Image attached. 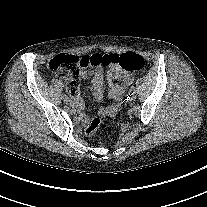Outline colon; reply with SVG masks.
Instances as JSON below:
<instances>
[{
	"label": "colon",
	"instance_id": "5ec220e1",
	"mask_svg": "<svg viewBox=\"0 0 207 207\" xmlns=\"http://www.w3.org/2000/svg\"><path fill=\"white\" fill-rule=\"evenodd\" d=\"M144 58L136 53L128 52L124 54H90L83 57L62 54L54 57L49 62V68L58 72L63 77L70 92L78 87L81 70L88 67H111L118 66L125 71H139L144 67ZM101 123L99 117L93 118L85 127L84 134L92 136Z\"/></svg>",
	"mask_w": 207,
	"mask_h": 207
}]
</instances>
